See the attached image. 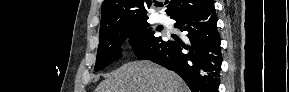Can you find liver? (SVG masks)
Returning a JSON list of instances; mask_svg holds the SVG:
<instances>
[{
  "mask_svg": "<svg viewBox=\"0 0 289 92\" xmlns=\"http://www.w3.org/2000/svg\"><path fill=\"white\" fill-rule=\"evenodd\" d=\"M95 92H188V88L173 71L149 61H134L108 74Z\"/></svg>",
  "mask_w": 289,
  "mask_h": 92,
  "instance_id": "1",
  "label": "liver"
}]
</instances>
